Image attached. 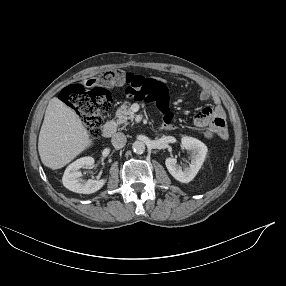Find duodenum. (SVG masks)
Masks as SVG:
<instances>
[{
  "label": "duodenum",
  "mask_w": 286,
  "mask_h": 286,
  "mask_svg": "<svg viewBox=\"0 0 286 286\" xmlns=\"http://www.w3.org/2000/svg\"><path fill=\"white\" fill-rule=\"evenodd\" d=\"M115 132H116V124L112 121H109L104 125L102 134L104 137L110 138L115 134Z\"/></svg>",
  "instance_id": "obj_1"
}]
</instances>
